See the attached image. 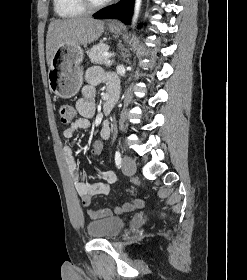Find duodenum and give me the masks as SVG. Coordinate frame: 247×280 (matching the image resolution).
<instances>
[{
	"label": "duodenum",
	"instance_id": "duodenum-1",
	"mask_svg": "<svg viewBox=\"0 0 247 280\" xmlns=\"http://www.w3.org/2000/svg\"><path fill=\"white\" fill-rule=\"evenodd\" d=\"M118 97L117 89L111 87L108 89L107 93L105 94V102L103 106V111L105 114H109L113 109Z\"/></svg>",
	"mask_w": 247,
	"mask_h": 280
}]
</instances>
